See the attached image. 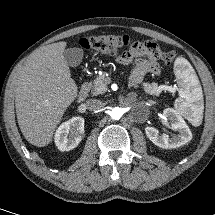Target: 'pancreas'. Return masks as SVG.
Masks as SVG:
<instances>
[{
	"instance_id": "cf45deb5",
	"label": "pancreas",
	"mask_w": 215,
	"mask_h": 215,
	"mask_svg": "<svg viewBox=\"0 0 215 215\" xmlns=\"http://www.w3.org/2000/svg\"><path fill=\"white\" fill-rule=\"evenodd\" d=\"M89 87L91 89V93L93 94V96L104 94L107 91V82H106L105 75L104 74L99 75L94 80V82L89 85ZM144 89L146 92L152 95H157L159 93V89L156 84L154 85L146 84L144 86Z\"/></svg>"
}]
</instances>
